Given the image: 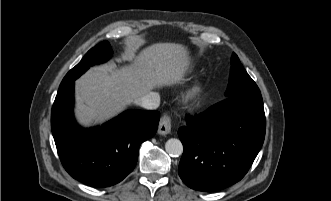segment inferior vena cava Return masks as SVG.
I'll return each mask as SVG.
<instances>
[{"label": "inferior vena cava", "mask_w": 331, "mask_h": 201, "mask_svg": "<svg viewBox=\"0 0 331 201\" xmlns=\"http://www.w3.org/2000/svg\"><path fill=\"white\" fill-rule=\"evenodd\" d=\"M138 104L149 110L156 109L160 105V96L157 92H149L148 94L139 98Z\"/></svg>", "instance_id": "602c4592"}]
</instances>
